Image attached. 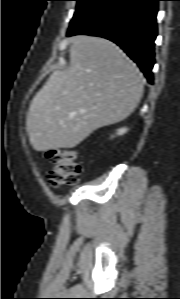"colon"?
I'll return each instance as SVG.
<instances>
[{"label":"colon","instance_id":"obj_1","mask_svg":"<svg viewBox=\"0 0 180 299\" xmlns=\"http://www.w3.org/2000/svg\"><path fill=\"white\" fill-rule=\"evenodd\" d=\"M52 161L48 172V184L52 188L73 186L77 184L82 175V166L77 161L76 153L72 149L59 148L47 152Z\"/></svg>","mask_w":180,"mask_h":299}]
</instances>
